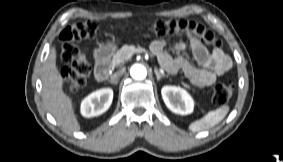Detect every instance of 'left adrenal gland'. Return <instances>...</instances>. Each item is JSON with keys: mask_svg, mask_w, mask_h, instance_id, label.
<instances>
[{"mask_svg": "<svg viewBox=\"0 0 283 162\" xmlns=\"http://www.w3.org/2000/svg\"><path fill=\"white\" fill-rule=\"evenodd\" d=\"M154 72L156 74L157 80L159 81L162 77H168V75L161 74L157 68L154 69Z\"/></svg>", "mask_w": 283, "mask_h": 162, "instance_id": "obj_1", "label": "left adrenal gland"}]
</instances>
